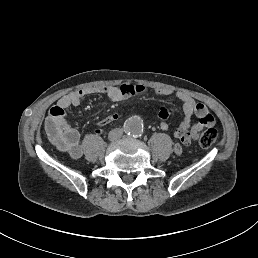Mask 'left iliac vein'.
<instances>
[{
  "label": "left iliac vein",
  "instance_id": "left-iliac-vein-1",
  "mask_svg": "<svg viewBox=\"0 0 258 258\" xmlns=\"http://www.w3.org/2000/svg\"><path fill=\"white\" fill-rule=\"evenodd\" d=\"M119 132L121 133L122 131L120 130ZM120 137L122 138L123 136L121 135Z\"/></svg>",
  "mask_w": 258,
  "mask_h": 258
}]
</instances>
